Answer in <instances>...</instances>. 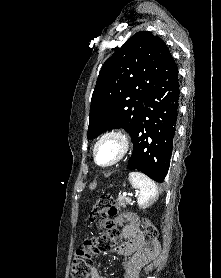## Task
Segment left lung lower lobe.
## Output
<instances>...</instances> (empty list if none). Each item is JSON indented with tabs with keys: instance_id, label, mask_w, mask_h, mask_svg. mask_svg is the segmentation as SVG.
Listing matches in <instances>:
<instances>
[{
	"instance_id": "1",
	"label": "left lung lower lobe",
	"mask_w": 221,
	"mask_h": 278,
	"mask_svg": "<svg viewBox=\"0 0 221 278\" xmlns=\"http://www.w3.org/2000/svg\"><path fill=\"white\" fill-rule=\"evenodd\" d=\"M180 85L173 57L146 98L131 134L133 153L127 168L163 182L169 170L179 111Z\"/></svg>"
}]
</instances>
